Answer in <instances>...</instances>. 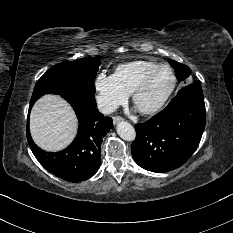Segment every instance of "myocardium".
Segmentation results:
<instances>
[{
  "instance_id": "myocardium-1",
  "label": "myocardium",
  "mask_w": 233,
  "mask_h": 233,
  "mask_svg": "<svg viewBox=\"0 0 233 233\" xmlns=\"http://www.w3.org/2000/svg\"><path fill=\"white\" fill-rule=\"evenodd\" d=\"M161 69H168L172 75V83H171L170 88L168 89L166 94L163 96V98L155 106L148 108V109H138L136 107V101H137L138 95L145 89V87L147 86V84L150 81V79L152 78V76L157 71H159ZM176 84H177V77H176L174 70L169 65H165V64L158 65L155 68H153L152 70H150L148 73H146L145 76L140 80V82L135 86V88L133 89V91L131 93L132 94V102H133L134 106L138 109V111L143 115L157 114L165 107V105L169 101L170 97L172 96V94L176 88Z\"/></svg>"
}]
</instances>
